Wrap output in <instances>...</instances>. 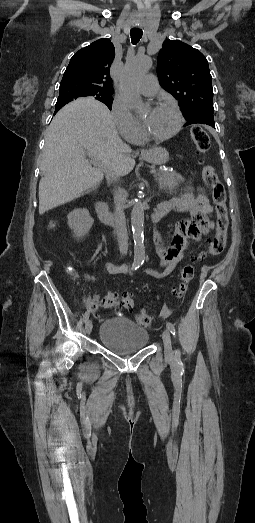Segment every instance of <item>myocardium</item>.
I'll return each instance as SVG.
<instances>
[{
	"label": "myocardium",
	"instance_id": "1",
	"mask_svg": "<svg viewBox=\"0 0 255 523\" xmlns=\"http://www.w3.org/2000/svg\"><path fill=\"white\" fill-rule=\"evenodd\" d=\"M162 106H170L175 111L176 116H177V120H178L175 129L171 133H169L167 135H164V136L150 137V136H148L145 133L142 124H140L139 137H140V139L142 141H144V142H162V141H166V140H169V139L173 138L174 136H176L180 132V130L182 129L183 124H184V117H183V114H182L180 108L178 107V105L176 103L172 102V101L165 100V101H160V102L154 104L152 109L155 110V109H158V108H160Z\"/></svg>",
	"mask_w": 255,
	"mask_h": 523
}]
</instances>
